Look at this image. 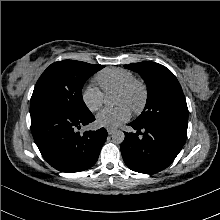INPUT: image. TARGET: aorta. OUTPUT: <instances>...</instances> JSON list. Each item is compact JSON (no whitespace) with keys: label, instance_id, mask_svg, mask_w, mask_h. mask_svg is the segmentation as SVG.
<instances>
[{"label":"aorta","instance_id":"762f6f07","mask_svg":"<svg viewBox=\"0 0 220 220\" xmlns=\"http://www.w3.org/2000/svg\"><path fill=\"white\" fill-rule=\"evenodd\" d=\"M105 105L111 106L112 105V99L110 97H106L104 100ZM125 135L122 131L117 130L113 132L112 134V140L116 143H122L124 141Z\"/></svg>","mask_w":220,"mask_h":220}]
</instances>
